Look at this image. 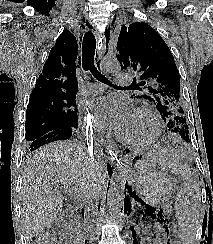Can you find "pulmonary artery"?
I'll list each match as a JSON object with an SVG mask.
<instances>
[{"instance_id": "obj_1", "label": "pulmonary artery", "mask_w": 213, "mask_h": 244, "mask_svg": "<svg viewBox=\"0 0 213 244\" xmlns=\"http://www.w3.org/2000/svg\"><path fill=\"white\" fill-rule=\"evenodd\" d=\"M130 80V77L128 74L125 73H119L116 75L115 83L117 85H122L127 83ZM105 88V85L102 83H86L84 87L82 88L81 92L83 95L87 96H93L98 95L101 92H103Z\"/></svg>"}]
</instances>
